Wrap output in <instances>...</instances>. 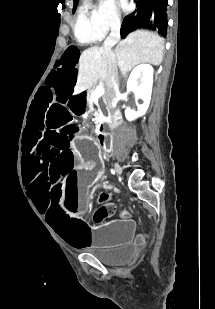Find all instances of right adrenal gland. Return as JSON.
Returning a JSON list of instances; mask_svg holds the SVG:
<instances>
[{
  "instance_id": "2a0ac1e0",
  "label": "right adrenal gland",
  "mask_w": 215,
  "mask_h": 309,
  "mask_svg": "<svg viewBox=\"0 0 215 309\" xmlns=\"http://www.w3.org/2000/svg\"><path fill=\"white\" fill-rule=\"evenodd\" d=\"M121 74H123V76H127V72H121Z\"/></svg>"
}]
</instances>
